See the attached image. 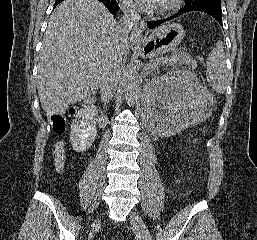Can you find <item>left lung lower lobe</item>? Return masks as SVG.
I'll list each match as a JSON object with an SVG mask.
<instances>
[{
	"label": "left lung lower lobe",
	"instance_id": "obj_1",
	"mask_svg": "<svg viewBox=\"0 0 257 240\" xmlns=\"http://www.w3.org/2000/svg\"><path fill=\"white\" fill-rule=\"evenodd\" d=\"M193 11L205 12V13L211 15L213 18H215L220 24L222 22L221 5H205V6H198V7H185L184 6L176 14L170 16L169 18L162 19V20H156V21H148L147 26L150 29H152L166 21L172 20L182 14H185L187 12H193Z\"/></svg>",
	"mask_w": 257,
	"mask_h": 240
}]
</instances>
